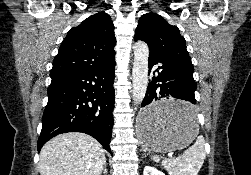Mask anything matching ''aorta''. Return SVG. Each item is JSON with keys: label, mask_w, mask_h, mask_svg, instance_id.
Returning a JSON list of instances; mask_svg holds the SVG:
<instances>
[{"label": "aorta", "mask_w": 251, "mask_h": 175, "mask_svg": "<svg viewBox=\"0 0 251 175\" xmlns=\"http://www.w3.org/2000/svg\"><path fill=\"white\" fill-rule=\"evenodd\" d=\"M134 60L132 68L134 103H141L148 86V58L149 48L144 42H136L133 46Z\"/></svg>", "instance_id": "obj_1"}]
</instances>
